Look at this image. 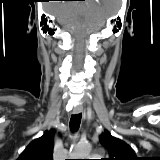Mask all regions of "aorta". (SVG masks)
Returning <instances> with one entry per match:
<instances>
[{"label":"aorta","instance_id":"obj_1","mask_svg":"<svg viewBox=\"0 0 160 160\" xmlns=\"http://www.w3.org/2000/svg\"><path fill=\"white\" fill-rule=\"evenodd\" d=\"M90 150L91 148L88 144H77L70 151V159H87Z\"/></svg>","mask_w":160,"mask_h":160}]
</instances>
